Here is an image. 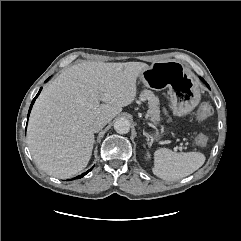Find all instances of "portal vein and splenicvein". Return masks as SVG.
<instances>
[{
  "label": "portal vein and splenic vein",
  "instance_id": "obj_1",
  "mask_svg": "<svg viewBox=\"0 0 241 241\" xmlns=\"http://www.w3.org/2000/svg\"><path fill=\"white\" fill-rule=\"evenodd\" d=\"M183 148L182 147H175L174 150L177 151V150H182Z\"/></svg>",
  "mask_w": 241,
  "mask_h": 241
}]
</instances>
